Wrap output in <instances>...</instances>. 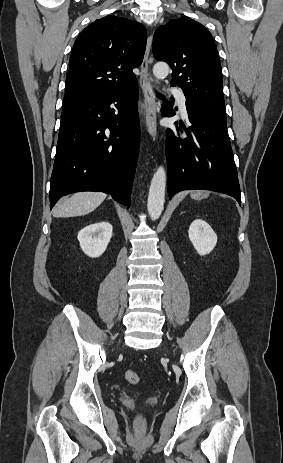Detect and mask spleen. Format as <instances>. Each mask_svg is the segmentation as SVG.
Masks as SVG:
<instances>
[{"mask_svg":"<svg viewBox=\"0 0 283 463\" xmlns=\"http://www.w3.org/2000/svg\"><path fill=\"white\" fill-rule=\"evenodd\" d=\"M204 193H205V196H207V192H204ZM205 196H204V197H205Z\"/></svg>","mask_w":283,"mask_h":463,"instance_id":"spleen-1","label":"spleen"}]
</instances>
